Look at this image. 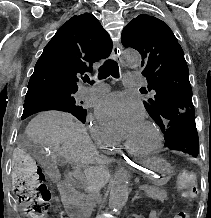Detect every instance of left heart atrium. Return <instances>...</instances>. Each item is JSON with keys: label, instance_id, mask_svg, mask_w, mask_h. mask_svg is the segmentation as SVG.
<instances>
[{"label": "left heart atrium", "instance_id": "left-heart-atrium-1", "mask_svg": "<svg viewBox=\"0 0 211 218\" xmlns=\"http://www.w3.org/2000/svg\"><path fill=\"white\" fill-rule=\"evenodd\" d=\"M95 113L104 130L116 139H128L145 124L141 102L125 93L102 98L96 104Z\"/></svg>", "mask_w": 211, "mask_h": 218}]
</instances>
